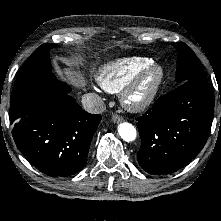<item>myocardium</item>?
Instances as JSON below:
<instances>
[{"label":"myocardium","mask_w":221,"mask_h":221,"mask_svg":"<svg viewBox=\"0 0 221 221\" xmlns=\"http://www.w3.org/2000/svg\"><path fill=\"white\" fill-rule=\"evenodd\" d=\"M149 78L152 79L146 85ZM164 79L165 70L160 64L152 63L145 67L121 89L122 105L131 112L148 109L154 103Z\"/></svg>","instance_id":"myocardium-1"}]
</instances>
